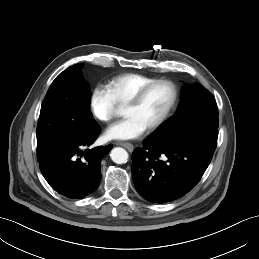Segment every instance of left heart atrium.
I'll return each mask as SVG.
<instances>
[{
    "label": "left heart atrium",
    "mask_w": 259,
    "mask_h": 259,
    "mask_svg": "<svg viewBox=\"0 0 259 259\" xmlns=\"http://www.w3.org/2000/svg\"><path fill=\"white\" fill-rule=\"evenodd\" d=\"M146 128L132 116L109 126L106 130V137L113 140H129L141 136Z\"/></svg>",
    "instance_id": "left-heart-atrium-1"
}]
</instances>
